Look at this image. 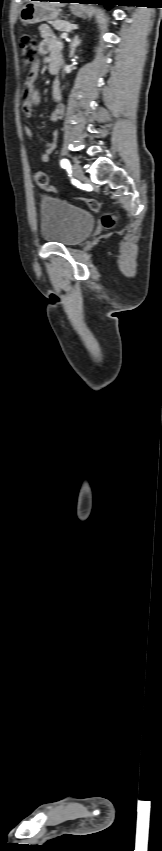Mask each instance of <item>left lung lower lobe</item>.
Listing matches in <instances>:
<instances>
[{
	"label": "left lung lower lobe",
	"instance_id": "1",
	"mask_svg": "<svg viewBox=\"0 0 162 851\" xmlns=\"http://www.w3.org/2000/svg\"><path fill=\"white\" fill-rule=\"evenodd\" d=\"M60 2H70V0H60ZM119 2H120V0H81L80 3L99 4V5H105V6L109 7L111 5H120V4H117Z\"/></svg>",
	"mask_w": 162,
	"mask_h": 851
}]
</instances>
